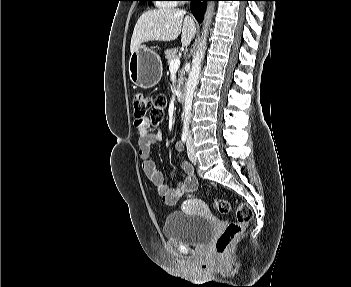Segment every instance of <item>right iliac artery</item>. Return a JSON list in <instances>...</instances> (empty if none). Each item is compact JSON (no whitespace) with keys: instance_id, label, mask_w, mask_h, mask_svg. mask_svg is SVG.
<instances>
[{"instance_id":"1","label":"right iliac artery","mask_w":351,"mask_h":287,"mask_svg":"<svg viewBox=\"0 0 351 287\" xmlns=\"http://www.w3.org/2000/svg\"><path fill=\"white\" fill-rule=\"evenodd\" d=\"M187 138H188V133L183 132L182 137H181L182 142L185 143L187 141Z\"/></svg>"}]
</instances>
